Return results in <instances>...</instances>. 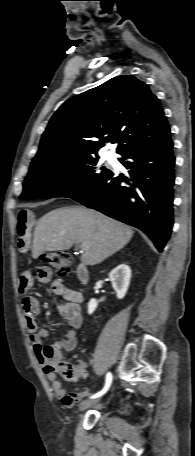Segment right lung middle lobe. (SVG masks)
<instances>
[{"label": "right lung middle lobe", "mask_w": 195, "mask_h": 456, "mask_svg": "<svg viewBox=\"0 0 195 456\" xmlns=\"http://www.w3.org/2000/svg\"><path fill=\"white\" fill-rule=\"evenodd\" d=\"M112 172L99 165L98 156H74L32 166L20 199L75 198L97 187Z\"/></svg>", "instance_id": "right-lung-middle-lobe-1"}]
</instances>
